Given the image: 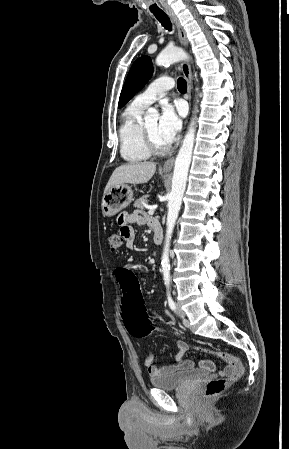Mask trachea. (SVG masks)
<instances>
[{
    "mask_svg": "<svg viewBox=\"0 0 289 449\" xmlns=\"http://www.w3.org/2000/svg\"><path fill=\"white\" fill-rule=\"evenodd\" d=\"M154 16L157 18V20L161 23V25L171 31L172 30V23L169 19V17L165 13H154ZM177 88L180 92H186L187 91V83L186 80L183 78H179L177 81Z\"/></svg>",
    "mask_w": 289,
    "mask_h": 449,
    "instance_id": "trachea-1",
    "label": "trachea"
}]
</instances>
